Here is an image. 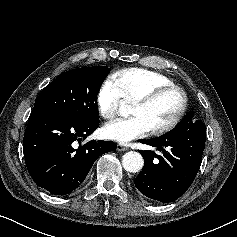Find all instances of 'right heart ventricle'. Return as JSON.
<instances>
[{
    "label": "right heart ventricle",
    "mask_w": 237,
    "mask_h": 237,
    "mask_svg": "<svg viewBox=\"0 0 237 237\" xmlns=\"http://www.w3.org/2000/svg\"><path fill=\"white\" fill-rule=\"evenodd\" d=\"M125 101L134 102L140 96L161 86L174 85L167 76L142 68H129L113 75Z\"/></svg>",
    "instance_id": "e07e8e85"
}]
</instances>
